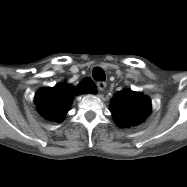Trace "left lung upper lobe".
I'll return each instance as SVG.
<instances>
[{
	"label": "left lung upper lobe",
	"instance_id": "left-lung-upper-lobe-1",
	"mask_svg": "<svg viewBox=\"0 0 187 187\" xmlns=\"http://www.w3.org/2000/svg\"><path fill=\"white\" fill-rule=\"evenodd\" d=\"M112 117L120 127H129L142 122L151 111L149 97L132 90L116 92L111 103Z\"/></svg>",
	"mask_w": 187,
	"mask_h": 187
}]
</instances>
